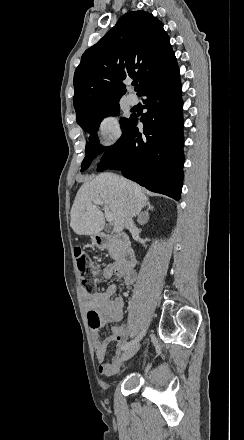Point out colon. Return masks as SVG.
<instances>
[{"label": "colon", "instance_id": "obj_1", "mask_svg": "<svg viewBox=\"0 0 244 440\" xmlns=\"http://www.w3.org/2000/svg\"><path fill=\"white\" fill-rule=\"evenodd\" d=\"M75 259L77 261L78 270L80 273V278L84 288L87 293L92 294L95 291L98 283L101 282V275L99 273V263L98 261L91 262V271L89 268V257L85 250L81 247L75 248ZM88 319H99L100 312L99 310H88L87 312Z\"/></svg>", "mask_w": 244, "mask_h": 440}]
</instances>
